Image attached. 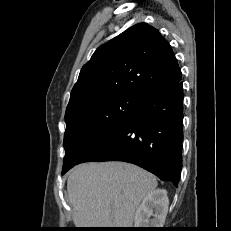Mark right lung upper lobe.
I'll return each mask as SVG.
<instances>
[{
  "mask_svg": "<svg viewBox=\"0 0 231 231\" xmlns=\"http://www.w3.org/2000/svg\"><path fill=\"white\" fill-rule=\"evenodd\" d=\"M181 70L168 41L147 23L136 24L94 52L81 69L66 114L118 96L176 85Z\"/></svg>",
  "mask_w": 231,
  "mask_h": 231,
  "instance_id": "obj_1",
  "label": "right lung upper lobe"
}]
</instances>
